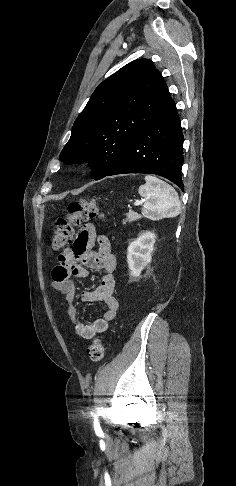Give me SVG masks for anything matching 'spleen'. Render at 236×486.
Returning <instances> with one entry per match:
<instances>
[{
  "instance_id": "3e777b00",
  "label": "spleen",
  "mask_w": 236,
  "mask_h": 486,
  "mask_svg": "<svg viewBox=\"0 0 236 486\" xmlns=\"http://www.w3.org/2000/svg\"><path fill=\"white\" fill-rule=\"evenodd\" d=\"M145 184L138 189L145 199L142 214L152 220L176 217L181 211L178 193L168 183L159 178L146 175Z\"/></svg>"
}]
</instances>
